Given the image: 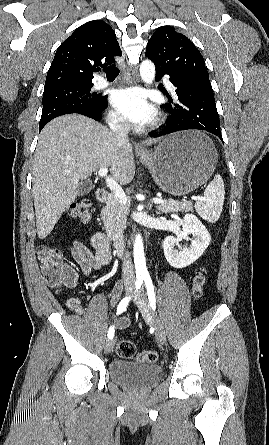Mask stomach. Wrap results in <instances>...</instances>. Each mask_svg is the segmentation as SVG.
<instances>
[{"instance_id": "1", "label": "stomach", "mask_w": 269, "mask_h": 445, "mask_svg": "<svg viewBox=\"0 0 269 445\" xmlns=\"http://www.w3.org/2000/svg\"><path fill=\"white\" fill-rule=\"evenodd\" d=\"M212 141L198 131H184L167 136L155 152L142 162L156 184L173 196L186 195L204 184L217 164Z\"/></svg>"}]
</instances>
